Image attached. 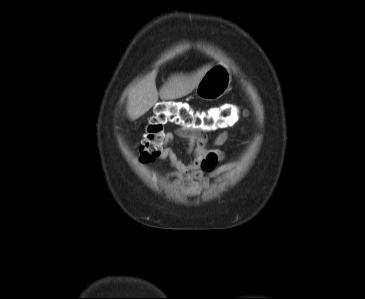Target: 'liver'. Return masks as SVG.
I'll use <instances>...</instances> for the list:
<instances>
[{
  "label": "liver",
  "mask_w": 365,
  "mask_h": 299,
  "mask_svg": "<svg viewBox=\"0 0 365 299\" xmlns=\"http://www.w3.org/2000/svg\"><path fill=\"white\" fill-rule=\"evenodd\" d=\"M210 67H205L193 76H173L161 88L156 89L155 75L146 77L143 81L131 88L128 101V115L136 120L158 101L160 96L163 100L178 99L190 94L198 85L203 75Z\"/></svg>",
  "instance_id": "obj_1"
}]
</instances>
